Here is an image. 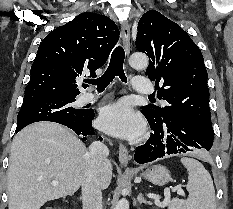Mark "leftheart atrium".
I'll list each match as a JSON object with an SVG mask.
<instances>
[{"instance_id":"left-heart-atrium-1","label":"left heart atrium","mask_w":233,"mask_h":209,"mask_svg":"<svg viewBox=\"0 0 233 209\" xmlns=\"http://www.w3.org/2000/svg\"><path fill=\"white\" fill-rule=\"evenodd\" d=\"M98 125L105 132L120 137L132 138L143 130L139 115L125 101H118L102 108Z\"/></svg>"}]
</instances>
